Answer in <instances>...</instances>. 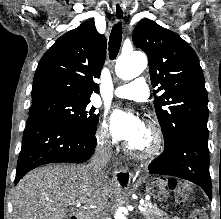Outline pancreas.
<instances>
[{
	"label": "pancreas",
	"instance_id": "cf45deb5",
	"mask_svg": "<svg viewBox=\"0 0 221 219\" xmlns=\"http://www.w3.org/2000/svg\"><path fill=\"white\" fill-rule=\"evenodd\" d=\"M142 206L146 209V211H142L141 214L146 219H168V217H164L167 215L166 212L159 209L155 204H152L151 202H145Z\"/></svg>",
	"mask_w": 221,
	"mask_h": 219
}]
</instances>
